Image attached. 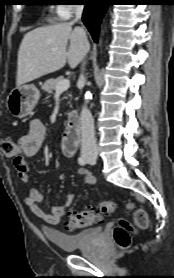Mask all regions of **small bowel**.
Listing matches in <instances>:
<instances>
[{
    "instance_id": "1",
    "label": "small bowel",
    "mask_w": 174,
    "mask_h": 278,
    "mask_svg": "<svg viewBox=\"0 0 174 278\" xmlns=\"http://www.w3.org/2000/svg\"><path fill=\"white\" fill-rule=\"evenodd\" d=\"M45 135V125L40 120H33L30 123L28 132L19 139L20 154L15 157L14 166L17 170L18 178L23 183L30 181V168L27 158L34 156L40 150ZM78 173L85 185L90 186L96 183V179L91 172L79 169ZM75 196L74 192H68L65 195L63 205H54L49 210H45L38 205L44 199L43 193L37 188H31L24 202L36 217L46 223L57 224L65 214L66 209L74 201Z\"/></svg>"
}]
</instances>
